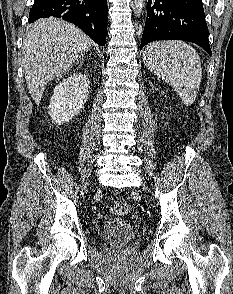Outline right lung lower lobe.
Listing matches in <instances>:
<instances>
[{
    "mask_svg": "<svg viewBox=\"0 0 233 294\" xmlns=\"http://www.w3.org/2000/svg\"><path fill=\"white\" fill-rule=\"evenodd\" d=\"M50 16L77 25L97 44L105 45L106 0H36L29 13V23Z\"/></svg>",
    "mask_w": 233,
    "mask_h": 294,
    "instance_id": "right-lung-lower-lobe-1",
    "label": "right lung lower lobe"
}]
</instances>
